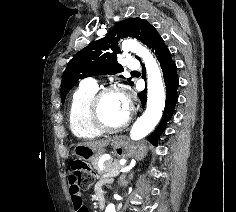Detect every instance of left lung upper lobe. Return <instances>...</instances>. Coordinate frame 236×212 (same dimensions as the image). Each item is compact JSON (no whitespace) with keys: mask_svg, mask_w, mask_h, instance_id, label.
Wrapping results in <instances>:
<instances>
[{"mask_svg":"<svg viewBox=\"0 0 236 212\" xmlns=\"http://www.w3.org/2000/svg\"><path fill=\"white\" fill-rule=\"evenodd\" d=\"M153 28L149 22L141 18L125 19L117 23L105 37L93 41L74 55L63 73L62 103L68 92L80 79L101 74L113 75L123 71V68L117 63V55L121 53L120 48L117 47L119 39L130 36L147 45L148 36ZM128 81L133 84L131 78Z\"/></svg>","mask_w":236,"mask_h":212,"instance_id":"5c2ea615","label":"left lung upper lobe"}]
</instances>
